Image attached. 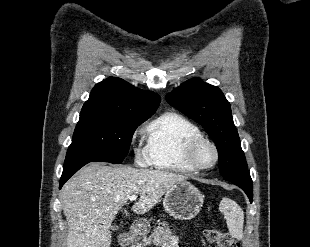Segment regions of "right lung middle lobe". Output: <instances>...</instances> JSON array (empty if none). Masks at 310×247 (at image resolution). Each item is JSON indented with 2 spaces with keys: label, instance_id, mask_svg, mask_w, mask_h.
<instances>
[{
  "label": "right lung middle lobe",
  "instance_id": "1",
  "mask_svg": "<svg viewBox=\"0 0 310 247\" xmlns=\"http://www.w3.org/2000/svg\"><path fill=\"white\" fill-rule=\"evenodd\" d=\"M149 117L80 114L64 166L93 161L120 164L128 154L135 129Z\"/></svg>",
  "mask_w": 310,
  "mask_h": 247
}]
</instances>
